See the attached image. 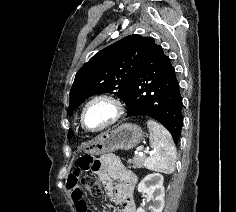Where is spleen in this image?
I'll use <instances>...</instances> for the list:
<instances>
[{
	"label": "spleen",
	"mask_w": 236,
	"mask_h": 212,
	"mask_svg": "<svg viewBox=\"0 0 236 212\" xmlns=\"http://www.w3.org/2000/svg\"><path fill=\"white\" fill-rule=\"evenodd\" d=\"M150 145L153 149L145 166L151 171L171 174L175 169L176 148L169 131L160 123L149 119Z\"/></svg>",
	"instance_id": "3e777b00"
}]
</instances>
